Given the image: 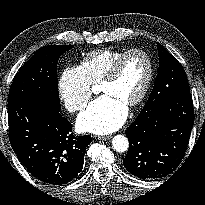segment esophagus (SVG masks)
I'll return each instance as SVG.
<instances>
[{
  "mask_svg": "<svg viewBox=\"0 0 205 205\" xmlns=\"http://www.w3.org/2000/svg\"><path fill=\"white\" fill-rule=\"evenodd\" d=\"M111 138V136L110 135H108V136H101V137H99V139L100 140H108V139H110Z\"/></svg>",
  "mask_w": 205,
  "mask_h": 205,
  "instance_id": "1",
  "label": "esophagus"
}]
</instances>
